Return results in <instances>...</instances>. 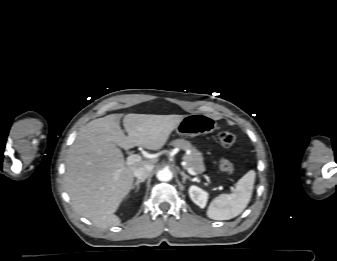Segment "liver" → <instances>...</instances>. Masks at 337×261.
I'll list each match as a JSON object with an SVG mask.
<instances>
[{"mask_svg":"<svg viewBox=\"0 0 337 261\" xmlns=\"http://www.w3.org/2000/svg\"><path fill=\"white\" fill-rule=\"evenodd\" d=\"M110 114L83 126L65 162L64 187L73 209L99 228L118 226L115 212L129 194L136 168L157 158L127 165L121 150L141 146L159 150L184 115Z\"/></svg>","mask_w":337,"mask_h":261,"instance_id":"1","label":"liver"}]
</instances>
